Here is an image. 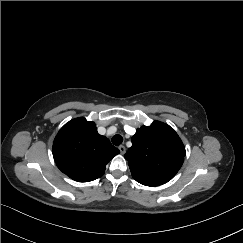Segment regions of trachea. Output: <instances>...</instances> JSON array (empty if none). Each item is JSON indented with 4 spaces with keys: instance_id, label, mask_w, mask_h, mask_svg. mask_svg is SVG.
<instances>
[{
    "instance_id": "obj_1",
    "label": "trachea",
    "mask_w": 243,
    "mask_h": 243,
    "mask_svg": "<svg viewBox=\"0 0 243 243\" xmlns=\"http://www.w3.org/2000/svg\"><path fill=\"white\" fill-rule=\"evenodd\" d=\"M123 142V137L119 134H116L112 137V143L116 146L120 145Z\"/></svg>"
}]
</instances>
